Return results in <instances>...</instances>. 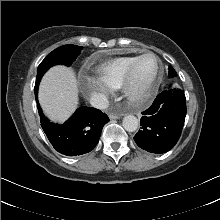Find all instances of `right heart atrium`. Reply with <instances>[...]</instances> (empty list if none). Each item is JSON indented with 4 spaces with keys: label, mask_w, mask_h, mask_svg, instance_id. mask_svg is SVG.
<instances>
[{
    "label": "right heart atrium",
    "mask_w": 220,
    "mask_h": 220,
    "mask_svg": "<svg viewBox=\"0 0 220 220\" xmlns=\"http://www.w3.org/2000/svg\"><path fill=\"white\" fill-rule=\"evenodd\" d=\"M83 89L90 101L99 107L106 105L114 92V88L98 76L85 77Z\"/></svg>",
    "instance_id": "right-heart-atrium-1"
}]
</instances>
